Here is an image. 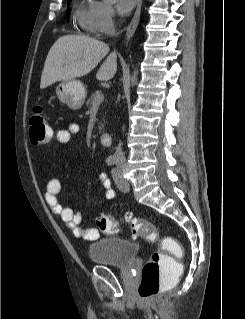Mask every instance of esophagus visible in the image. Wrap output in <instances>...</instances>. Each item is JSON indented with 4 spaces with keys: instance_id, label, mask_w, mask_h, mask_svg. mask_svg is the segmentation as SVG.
<instances>
[{
    "instance_id": "34e87169",
    "label": "esophagus",
    "mask_w": 245,
    "mask_h": 319,
    "mask_svg": "<svg viewBox=\"0 0 245 319\" xmlns=\"http://www.w3.org/2000/svg\"><path fill=\"white\" fill-rule=\"evenodd\" d=\"M141 6H142V0H138L135 14H134L130 24L128 25V27L126 29V39L127 40H129L134 35V33L136 31V28L138 26L139 19H140Z\"/></svg>"
}]
</instances>
